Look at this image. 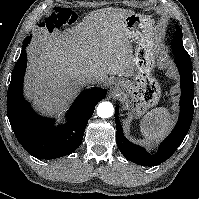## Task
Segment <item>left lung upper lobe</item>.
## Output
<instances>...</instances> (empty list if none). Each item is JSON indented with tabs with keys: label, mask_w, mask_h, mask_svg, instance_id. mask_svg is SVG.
Wrapping results in <instances>:
<instances>
[{
	"label": "left lung upper lobe",
	"mask_w": 199,
	"mask_h": 199,
	"mask_svg": "<svg viewBox=\"0 0 199 199\" xmlns=\"http://www.w3.org/2000/svg\"><path fill=\"white\" fill-rule=\"evenodd\" d=\"M173 53L177 57H181L185 59L187 62H191L190 56L187 53V51L183 47V42H182V31L179 26L176 25V33L174 36V41H173Z\"/></svg>",
	"instance_id": "1"
}]
</instances>
